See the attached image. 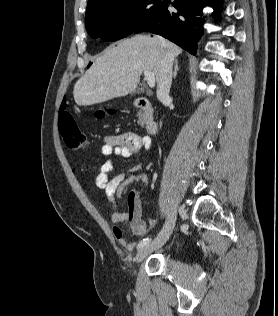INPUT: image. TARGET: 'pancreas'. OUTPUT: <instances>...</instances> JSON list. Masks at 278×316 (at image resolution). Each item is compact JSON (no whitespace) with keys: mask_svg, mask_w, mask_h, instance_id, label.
<instances>
[{"mask_svg":"<svg viewBox=\"0 0 278 316\" xmlns=\"http://www.w3.org/2000/svg\"><path fill=\"white\" fill-rule=\"evenodd\" d=\"M153 119V112L149 111V112H144V111H140L138 113V124L141 127H144L146 124H148L151 120Z\"/></svg>","mask_w":278,"mask_h":316,"instance_id":"obj_1","label":"pancreas"}]
</instances>
